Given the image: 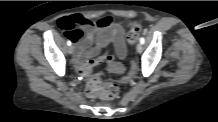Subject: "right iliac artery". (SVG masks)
Returning a JSON list of instances; mask_svg holds the SVG:
<instances>
[{"instance_id": "82829eb1", "label": "right iliac artery", "mask_w": 218, "mask_h": 122, "mask_svg": "<svg viewBox=\"0 0 218 122\" xmlns=\"http://www.w3.org/2000/svg\"><path fill=\"white\" fill-rule=\"evenodd\" d=\"M67 45L71 46V41L70 40L67 41Z\"/></svg>"}]
</instances>
